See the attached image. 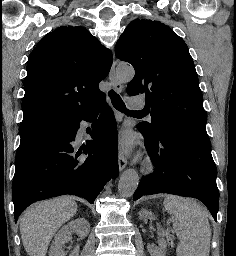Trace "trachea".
<instances>
[{
    "instance_id": "1",
    "label": "trachea",
    "mask_w": 236,
    "mask_h": 256,
    "mask_svg": "<svg viewBox=\"0 0 236 256\" xmlns=\"http://www.w3.org/2000/svg\"><path fill=\"white\" fill-rule=\"evenodd\" d=\"M108 96L110 97L111 102H112L114 108H116V110L121 111L122 113H126L127 115L138 113L136 111H130V110L126 109L124 101L114 90H110L108 93ZM140 112H141V110H140Z\"/></svg>"
}]
</instances>
